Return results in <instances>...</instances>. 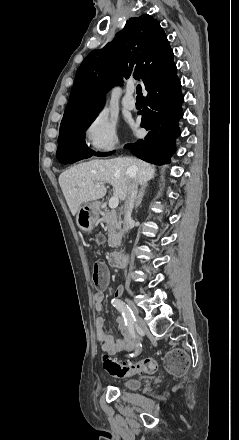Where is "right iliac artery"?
I'll return each instance as SVG.
<instances>
[{
	"mask_svg": "<svg viewBox=\"0 0 239 440\" xmlns=\"http://www.w3.org/2000/svg\"><path fill=\"white\" fill-rule=\"evenodd\" d=\"M111 303L119 312L122 313L124 320H125V324L128 326L129 332H130L132 338L135 340L136 333L134 330V324L136 322V318H135L132 310L130 309V307L127 304H125L120 299L114 298V299H112ZM140 351H141V345L138 343L135 353L130 354V357L138 355L140 353Z\"/></svg>",
	"mask_w": 239,
	"mask_h": 440,
	"instance_id": "82829eb1",
	"label": "right iliac artery"
}]
</instances>
